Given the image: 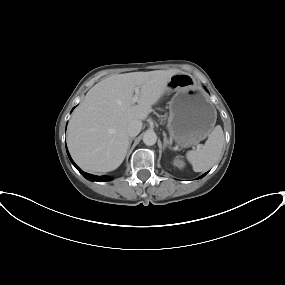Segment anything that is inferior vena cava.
Here are the masks:
<instances>
[{
	"instance_id": "obj_1",
	"label": "inferior vena cava",
	"mask_w": 285,
	"mask_h": 285,
	"mask_svg": "<svg viewBox=\"0 0 285 285\" xmlns=\"http://www.w3.org/2000/svg\"><path fill=\"white\" fill-rule=\"evenodd\" d=\"M142 129V122L140 120H132L127 125V133L130 137L137 136Z\"/></svg>"
}]
</instances>
